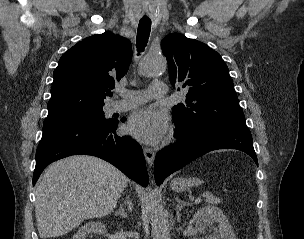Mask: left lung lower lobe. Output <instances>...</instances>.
Returning a JSON list of instances; mask_svg holds the SVG:
<instances>
[{
	"mask_svg": "<svg viewBox=\"0 0 304 239\" xmlns=\"http://www.w3.org/2000/svg\"><path fill=\"white\" fill-rule=\"evenodd\" d=\"M177 126V125H176ZM178 141L159 151L155 158L154 175L157 185L170 174L194 159L217 149H237L247 153L258 165L252 135L244 126H218L197 135H188L177 126Z\"/></svg>",
	"mask_w": 304,
	"mask_h": 239,
	"instance_id": "0a47b994",
	"label": "left lung lower lobe"
}]
</instances>
